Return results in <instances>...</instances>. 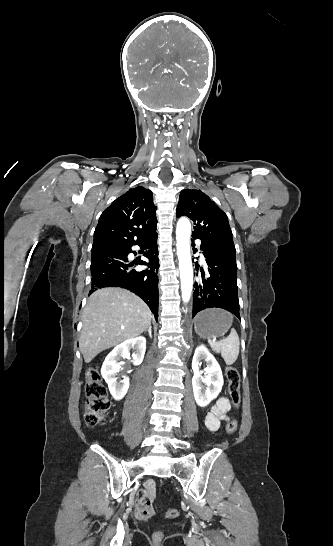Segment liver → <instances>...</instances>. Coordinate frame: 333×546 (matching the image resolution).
I'll list each match as a JSON object with an SVG mask.
<instances>
[{
    "mask_svg": "<svg viewBox=\"0 0 333 546\" xmlns=\"http://www.w3.org/2000/svg\"><path fill=\"white\" fill-rule=\"evenodd\" d=\"M146 303L130 291L108 287L88 299L82 315L79 347L86 363L100 352L138 337L151 324Z\"/></svg>",
    "mask_w": 333,
    "mask_h": 546,
    "instance_id": "liver-1",
    "label": "liver"
}]
</instances>
